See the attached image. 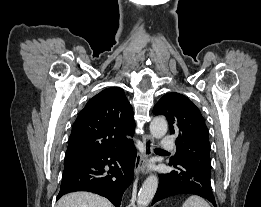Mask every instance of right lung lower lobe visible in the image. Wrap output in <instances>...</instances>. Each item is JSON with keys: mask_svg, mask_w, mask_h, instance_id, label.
Here are the masks:
<instances>
[{"mask_svg": "<svg viewBox=\"0 0 261 207\" xmlns=\"http://www.w3.org/2000/svg\"><path fill=\"white\" fill-rule=\"evenodd\" d=\"M136 149L133 142L65 164L57 200L69 192L89 191L108 198L120 207L122 195L134 176Z\"/></svg>", "mask_w": 261, "mask_h": 207, "instance_id": "98d812e1", "label": "right lung lower lobe"}]
</instances>
